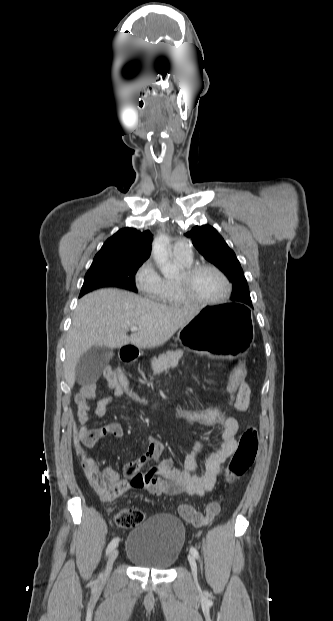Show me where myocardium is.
Instances as JSON below:
<instances>
[{
  "instance_id": "obj_1",
  "label": "myocardium",
  "mask_w": 333,
  "mask_h": 621,
  "mask_svg": "<svg viewBox=\"0 0 333 621\" xmlns=\"http://www.w3.org/2000/svg\"><path fill=\"white\" fill-rule=\"evenodd\" d=\"M203 270H211L221 277L225 283L226 290L224 294L214 300H203L195 297L191 290L193 278ZM178 290L187 303L199 306L218 305L226 302L232 293V284L226 274L217 266L209 263H200L184 268L176 280Z\"/></svg>"
}]
</instances>
